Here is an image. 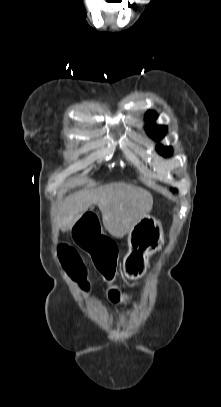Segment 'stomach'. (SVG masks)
<instances>
[{
	"instance_id": "0dacf381",
	"label": "stomach",
	"mask_w": 221,
	"mask_h": 407,
	"mask_svg": "<svg viewBox=\"0 0 221 407\" xmlns=\"http://www.w3.org/2000/svg\"><path fill=\"white\" fill-rule=\"evenodd\" d=\"M163 230L160 223L152 216L140 219L128 232L129 251L123 259L127 275H139L147 268L149 258L161 249Z\"/></svg>"
}]
</instances>
